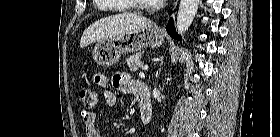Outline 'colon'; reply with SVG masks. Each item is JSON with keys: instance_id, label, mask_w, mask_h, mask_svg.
<instances>
[{"instance_id": "5ec220e1", "label": "colon", "mask_w": 280, "mask_h": 137, "mask_svg": "<svg viewBox=\"0 0 280 137\" xmlns=\"http://www.w3.org/2000/svg\"><path fill=\"white\" fill-rule=\"evenodd\" d=\"M79 97L80 102L87 108H93L97 103V94L93 90L82 89Z\"/></svg>"}]
</instances>
